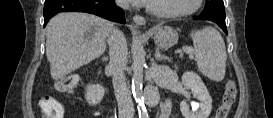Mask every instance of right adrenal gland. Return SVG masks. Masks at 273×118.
<instances>
[{"label":"right adrenal gland","mask_w":273,"mask_h":118,"mask_svg":"<svg viewBox=\"0 0 273 118\" xmlns=\"http://www.w3.org/2000/svg\"><path fill=\"white\" fill-rule=\"evenodd\" d=\"M103 60L107 61V60H108V57H104Z\"/></svg>","instance_id":"right-adrenal-gland-1"}]
</instances>
